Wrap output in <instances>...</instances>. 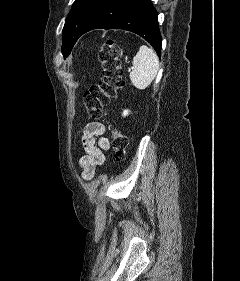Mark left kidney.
Returning a JSON list of instances; mask_svg holds the SVG:
<instances>
[{"label": "left kidney", "mask_w": 240, "mask_h": 281, "mask_svg": "<svg viewBox=\"0 0 240 281\" xmlns=\"http://www.w3.org/2000/svg\"><path fill=\"white\" fill-rule=\"evenodd\" d=\"M129 114V111L128 110H124L123 111V116L125 117V116H127Z\"/></svg>", "instance_id": "obj_1"}]
</instances>
